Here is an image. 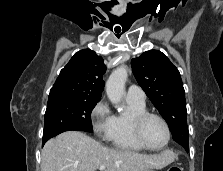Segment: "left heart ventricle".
Returning a JSON list of instances; mask_svg holds the SVG:
<instances>
[{
  "instance_id": "left-heart-ventricle-1",
  "label": "left heart ventricle",
  "mask_w": 223,
  "mask_h": 171,
  "mask_svg": "<svg viewBox=\"0 0 223 171\" xmlns=\"http://www.w3.org/2000/svg\"><path fill=\"white\" fill-rule=\"evenodd\" d=\"M142 135L146 143L152 147L162 146L167 139L165 126L159 119L154 117H150L144 122Z\"/></svg>"
}]
</instances>
